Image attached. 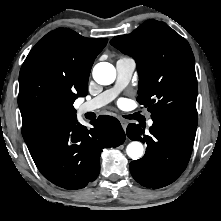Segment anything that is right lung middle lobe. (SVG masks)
<instances>
[{
	"label": "right lung middle lobe",
	"mask_w": 221,
	"mask_h": 221,
	"mask_svg": "<svg viewBox=\"0 0 221 221\" xmlns=\"http://www.w3.org/2000/svg\"><path fill=\"white\" fill-rule=\"evenodd\" d=\"M76 115V110L73 109V104L69 106L57 107L51 114V119L53 118H67Z\"/></svg>",
	"instance_id": "dd1d6c3e"
}]
</instances>
